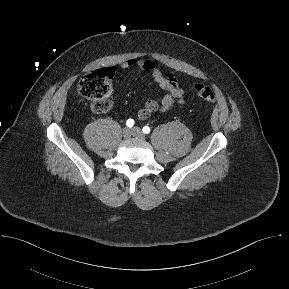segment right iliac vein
Instances as JSON below:
<instances>
[{"instance_id":"right-iliac-vein-1","label":"right iliac vein","mask_w":289,"mask_h":289,"mask_svg":"<svg viewBox=\"0 0 289 289\" xmlns=\"http://www.w3.org/2000/svg\"><path fill=\"white\" fill-rule=\"evenodd\" d=\"M122 135L125 138H129L132 135V130L128 127H125L122 131Z\"/></svg>"}]
</instances>
